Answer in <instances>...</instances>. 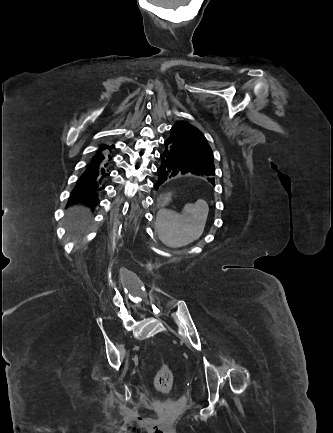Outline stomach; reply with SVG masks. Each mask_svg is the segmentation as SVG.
Here are the masks:
<instances>
[{"label": "stomach", "mask_w": 333, "mask_h": 433, "mask_svg": "<svg viewBox=\"0 0 333 433\" xmlns=\"http://www.w3.org/2000/svg\"><path fill=\"white\" fill-rule=\"evenodd\" d=\"M163 196H164V197L161 198L162 201H159V202L157 203V208H158L159 210H164V209L166 208V204H167L168 200H169L170 198H174V197L176 196V193H175L174 191H165V192L163 193Z\"/></svg>", "instance_id": "0dacf381"}]
</instances>
